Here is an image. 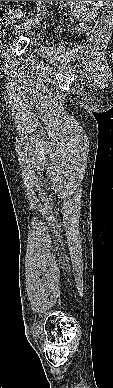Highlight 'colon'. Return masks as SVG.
<instances>
[{
  "label": "colon",
  "mask_w": 113,
  "mask_h": 388,
  "mask_svg": "<svg viewBox=\"0 0 113 388\" xmlns=\"http://www.w3.org/2000/svg\"><path fill=\"white\" fill-rule=\"evenodd\" d=\"M2 21L5 23H11L18 19L19 15L12 9H3L1 11Z\"/></svg>",
  "instance_id": "obj_1"
}]
</instances>
